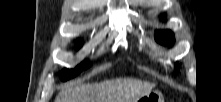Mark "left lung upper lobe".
Listing matches in <instances>:
<instances>
[{"instance_id": "obj_1", "label": "left lung upper lobe", "mask_w": 221, "mask_h": 102, "mask_svg": "<svg viewBox=\"0 0 221 102\" xmlns=\"http://www.w3.org/2000/svg\"><path fill=\"white\" fill-rule=\"evenodd\" d=\"M155 38L157 42L164 44V45H172L174 42L173 34L170 30H159L156 31Z\"/></svg>"}]
</instances>
